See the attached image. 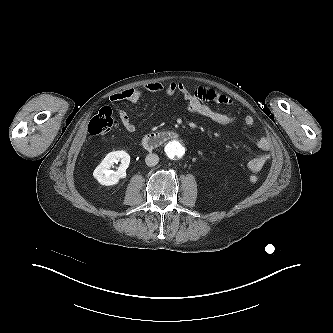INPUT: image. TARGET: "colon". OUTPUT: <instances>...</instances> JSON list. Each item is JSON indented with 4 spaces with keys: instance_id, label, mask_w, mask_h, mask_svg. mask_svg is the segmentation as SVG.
Listing matches in <instances>:
<instances>
[{
    "instance_id": "colon-1",
    "label": "colon",
    "mask_w": 333,
    "mask_h": 333,
    "mask_svg": "<svg viewBox=\"0 0 333 333\" xmlns=\"http://www.w3.org/2000/svg\"><path fill=\"white\" fill-rule=\"evenodd\" d=\"M113 125L112 110L108 106L102 107L99 112L91 119L89 123V131L93 135H103L110 131ZM251 183H256L258 177L251 175L249 177Z\"/></svg>"
}]
</instances>
